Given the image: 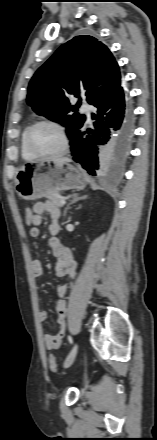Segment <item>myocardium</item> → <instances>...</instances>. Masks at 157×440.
I'll return each instance as SVG.
<instances>
[{
  "label": "myocardium",
  "mask_w": 157,
  "mask_h": 440,
  "mask_svg": "<svg viewBox=\"0 0 157 440\" xmlns=\"http://www.w3.org/2000/svg\"><path fill=\"white\" fill-rule=\"evenodd\" d=\"M41 125L52 126V127L56 128L58 130V132L60 133L61 138H62V147L58 151L53 152V153H42L34 148V146L32 144V135H33L34 130ZM26 143H27V147L29 148V150L33 154H35L36 156H42V157H54V156L63 155L69 150V147H70V139H69V136H68V133H67L65 127L60 122L55 121V120H51V119H42V120H39V121H36L35 123H33L27 132Z\"/></svg>",
  "instance_id": "myocardium-1"
}]
</instances>
